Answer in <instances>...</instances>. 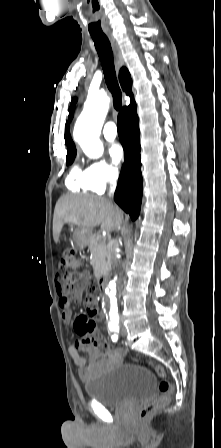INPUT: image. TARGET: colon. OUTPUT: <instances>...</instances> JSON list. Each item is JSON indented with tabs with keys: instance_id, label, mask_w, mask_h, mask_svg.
<instances>
[{
	"instance_id": "colon-1",
	"label": "colon",
	"mask_w": 221,
	"mask_h": 448,
	"mask_svg": "<svg viewBox=\"0 0 221 448\" xmlns=\"http://www.w3.org/2000/svg\"><path fill=\"white\" fill-rule=\"evenodd\" d=\"M79 267L78 258L76 252L71 248H65L61 254L59 263H58V272L56 276L58 288L63 290L70 285L71 277L73 271ZM96 286L94 282H91L89 287L87 288L86 298L88 302H94V294H95ZM94 329V323L91 321L87 326L86 330L92 331ZM144 364L149 366L156 374L160 377V381L158 383V389L160 392V396L146 404L139 412V419L144 421L149 419L152 415H154L161 407L166 405L169 402L171 395V385L169 381L166 379L165 371L154 361L146 360Z\"/></svg>"
}]
</instances>
